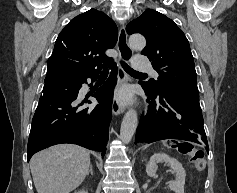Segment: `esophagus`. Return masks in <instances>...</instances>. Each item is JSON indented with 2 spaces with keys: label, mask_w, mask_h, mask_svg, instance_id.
<instances>
[{
  "label": "esophagus",
  "mask_w": 237,
  "mask_h": 193,
  "mask_svg": "<svg viewBox=\"0 0 237 193\" xmlns=\"http://www.w3.org/2000/svg\"><path fill=\"white\" fill-rule=\"evenodd\" d=\"M117 47H118V51H119L121 60L124 62L130 61V59L133 55V51L128 45L127 33H126V29L123 25L119 29ZM118 78H119L120 85L129 81V77L126 75V73L124 72L122 67L119 68ZM112 112L115 115H119L124 112V107L116 95L113 99Z\"/></svg>",
  "instance_id": "1"
}]
</instances>
